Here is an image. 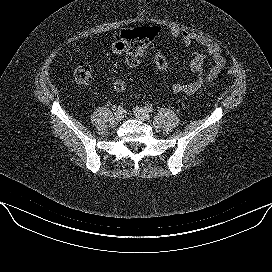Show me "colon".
<instances>
[{"mask_svg":"<svg viewBox=\"0 0 272 272\" xmlns=\"http://www.w3.org/2000/svg\"><path fill=\"white\" fill-rule=\"evenodd\" d=\"M158 34V28L156 26H146L134 29V36L138 38L142 44L149 47L152 40ZM80 45H77L73 51L79 49ZM152 63L158 71H165L168 67L167 59L162 54H156L152 58ZM229 75H235L236 71L233 68L228 69ZM73 78L78 84H88L92 79V71L88 64L81 63L78 65L74 72ZM113 88L117 92H122L126 89V82L123 79H118L113 83Z\"/></svg>","mask_w":272,"mask_h":272,"instance_id":"obj_1","label":"colon"}]
</instances>
